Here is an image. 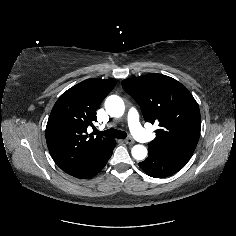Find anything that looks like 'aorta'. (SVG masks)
Wrapping results in <instances>:
<instances>
[{"label": "aorta", "mask_w": 236, "mask_h": 236, "mask_svg": "<svg viewBox=\"0 0 236 236\" xmlns=\"http://www.w3.org/2000/svg\"><path fill=\"white\" fill-rule=\"evenodd\" d=\"M105 109L110 116L119 118L124 114L125 105L121 97L111 95L105 101ZM131 153L134 159L144 160L147 156V149L143 145H135Z\"/></svg>", "instance_id": "762f6f07"}]
</instances>
